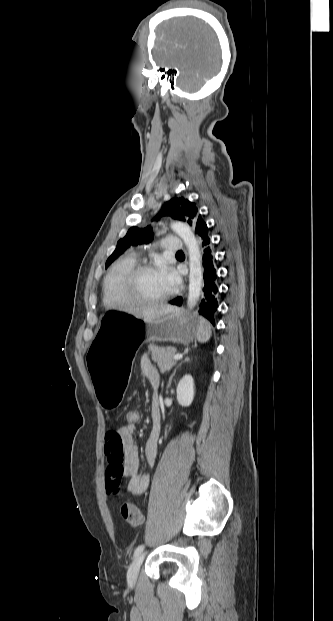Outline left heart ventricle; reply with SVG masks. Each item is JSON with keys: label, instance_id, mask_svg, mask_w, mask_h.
<instances>
[{"label": "left heart ventricle", "instance_id": "1", "mask_svg": "<svg viewBox=\"0 0 333 621\" xmlns=\"http://www.w3.org/2000/svg\"><path fill=\"white\" fill-rule=\"evenodd\" d=\"M135 292L142 298L157 299L170 292L161 270L141 274L135 283Z\"/></svg>", "mask_w": 333, "mask_h": 621}]
</instances>
